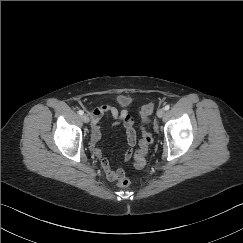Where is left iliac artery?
<instances>
[{
	"instance_id": "obj_1",
	"label": "left iliac artery",
	"mask_w": 243,
	"mask_h": 243,
	"mask_svg": "<svg viewBox=\"0 0 243 243\" xmlns=\"http://www.w3.org/2000/svg\"><path fill=\"white\" fill-rule=\"evenodd\" d=\"M169 108H170L169 105H166V106L164 107V109H165L166 111L169 110Z\"/></svg>"
}]
</instances>
